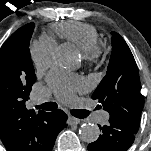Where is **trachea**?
Wrapping results in <instances>:
<instances>
[{"label":"trachea","mask_w":151,"mask_h":151,"mask_svg":"<svg viewBox=\"0 0 151 151\" xmlns=\"http://www.w3.org/2000/svg\"><path fill=\"white\" fill-rule=\"evenodd\" d=\"M57 107H58V105L55 102H47L42 105L36 106L37 109H43V110H47V111H53V110L57 109ZM71 113L73 116H75L77 118H85L90 114V112L87 110H72Z\"/></svg>","instance_id":"trachea-1"}]
</instances>
